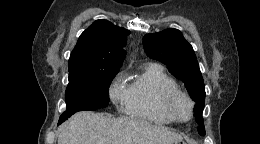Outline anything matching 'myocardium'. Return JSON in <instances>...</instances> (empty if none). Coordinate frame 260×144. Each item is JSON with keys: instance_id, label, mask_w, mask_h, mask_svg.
I'll return each instance as SVG.
<instances>
[{"instance_id": "f54148a6", "label": "myocardium", "mask_w": 260, "mask_h": 144, "mask_svg": "<svg viewBox=\"0 0 260 144\" xmlns=\"http://www.w3.org/2000/svg\"><path fill=\"white\" fill-rule=\"evenodd\" d=\"M179 98H183L189 103V116L185 119L180 118L174 110V103ZM160 108L173 122L186 123L194 115V101L189 94L180 89L166 91L160 99Z\"/></svg>"}]
</instances>
